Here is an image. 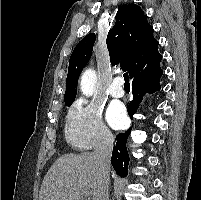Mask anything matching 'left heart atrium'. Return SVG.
I'll list each match as a JSON object with an SVG mask.
<instances>
[{"label":"left heart atrium","mask_w":201,"mask_h":200,"mask_svg":"<svg viewBox=\"0 0 201 200\" xmlns=\"http://www.w3.org/2000/svg\"><path fill=\"white\" fill-rule=\"evenodd\" d=\"M107 119L111 126L121 128L126 121L124 107L120 104H112L107 112Z\"/></svg>","instance_id":"1"}]
</instances>
